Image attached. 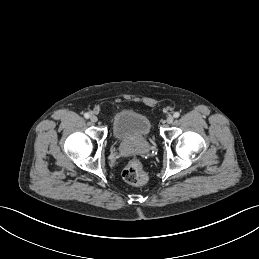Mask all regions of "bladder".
<instances>
[{
    "instance_id": "31cf9c89",
    "label": "bladder",
    "mask_w": 259,
    "mask_h": 259,
    "mask_svg": "<svg viewBox=\"0 0 259 259\" xmlns=\"http://www.w3.org/2000/svg\"><path fill=\"white\" fill-rule=\"evenodd\" d=\"M151 132L150 120L134 111H120L112 120V134L116 140H141Z\"/></svg>"
}]
</instances>
